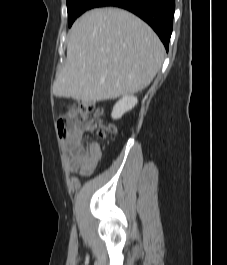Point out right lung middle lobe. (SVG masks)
<instances>
[{
  "mask_svg": "<svg viewBox=\"0 0 227 265\" xmlns=\"http://www.w3.org/2000/svg\"><path fill=\"white\" fill-rule=\"evenodd\" d=\"M94 2L95 0H67L69 27L78 16L90 9Z\"/></svg>",
  "mask_w": 227,
  "mask_h": 265,
  "instance_id": "dd1d6c3e",
  "label": "right lung middle lobe"
}]
</instances>
